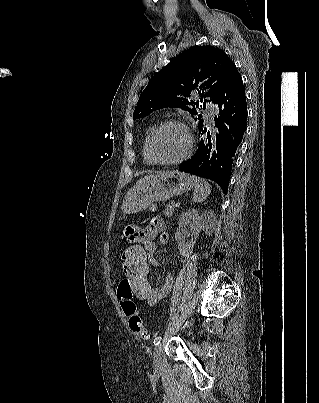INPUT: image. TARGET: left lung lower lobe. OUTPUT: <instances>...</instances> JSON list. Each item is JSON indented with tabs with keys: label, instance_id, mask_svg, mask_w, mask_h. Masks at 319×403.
I'll return each mask as SVG.
<instances>
[{
	"label": "left lung lower lobe",
	"instance_id": "0a47b994",
	"mask_svg": "<svg viewBox=\"0 0 319 403\" xmlns=\"http://www.w3.org/2000/svg\"><path fill=\"white\" fill-rule=\"evenodd\" d=\"M218 105L215 116L218 129L216 143L212 145L210 133L204 125L199 129L207 132L208 142L201 139L196 154L180 164L178 170L215 181L226 194L231 175L233 157L239 147L247 120V104L242 78L233 64L213 101Z\"/></svg>",
	"mask_w": 319,
	"mask_h": 403
}]
</instances>
